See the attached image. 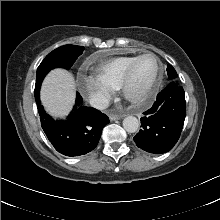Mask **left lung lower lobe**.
I'll return each instance as SVG.
<instances>
[{"label": "left lung lower lobe", "instance_id": "left-lung-lower-lobe-1", "mask_svg": "<svg viewBox=\"0 0 220 220\" xmlns=\"http://www.w3.org/2000/svg\"><path fill=\"white\" fill-rule=\"evenodd\" d=\"M186 116L182 87L171 82L158 95L141 118L142 129L133 138L136 145L150 153L168 152L177 143Z\"/></svg>", "mask_w": 220, "mask_h": 220}]
</instances>
